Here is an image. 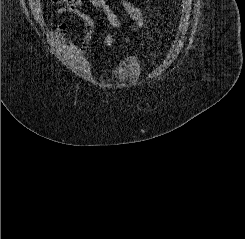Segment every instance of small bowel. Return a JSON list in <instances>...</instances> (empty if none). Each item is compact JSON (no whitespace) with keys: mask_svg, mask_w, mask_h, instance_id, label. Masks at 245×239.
I'll use <instances>...</instances> for the list:
<instances>
[{"mask_svg":"<svg viewBox=\"0 0 245 239\" xmlns=\"http://www.w3.org/2000/svg\"><path fill=\"white\" fill-rule=\"evenodd\" d=\"M66 1V0H64ZM85 2L97 10H100L105 14L109 23L114 29H118L123 20L120 16H118L109 6L107 0H74V2H60V6L56 9L58 13L68 12L74 14L78 17H81L86 20V28H85V38L81 45V50H85L89 41L91 40V35L93 32L92 22L90 21L88 15L84 13L81 8L84 6ZM121 4L124 7L125 11L129 15L131 19L130 31H136L142 27L147 25V21L144 18L140 9H138L130 0H121ZM67 26L64 22H60L57 25V34L62 35L66 32ZM112 35H110V39Z\"/></svg>","mask_w":245,"mask_h":239,"instance_id":"obj_1","label":"small bowel"}]
</instances>
